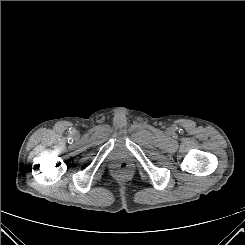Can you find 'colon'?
<instances>
[{
	"instance_id": "colon-1",
	"label": "colon",
	"mask_w": 245,
	"mask_h": 245,
	"mask_svg": "<svg viewBox=\"0 0 245 245\" xmlns=\"http://www.w3.org/2000/svg\"><path fill=\"white\" fill-rule=\"evenodd\" d=\"M129 169V165L127 163H122L118 166V171L121 173L127 172Z\"/></svg>"
}]
</instances>
